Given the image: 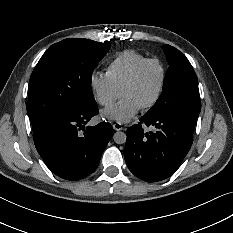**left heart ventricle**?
Returning <instances> with one entry per match:
<instances>
[{"label": "left heart ventricle", "instance_id": "left-heart-ventricle-1", "mask_svg": "<svg viewBox=\"0 0 233 233\" xmlns=\"http://www.w3.org/2000/svg\"><path fill=\"white\" fill-rule=\"evenodd\" d=\"M162 71L157 63H151L141 73L136 83L120 92L121 97H131L142 106L149 103L156 95Z\"/></svg>", "mask_w": 233, "mask_h": 233}]
</instances>
